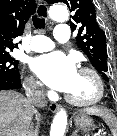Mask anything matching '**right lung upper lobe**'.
I'll use <instances>...</instances> for the list:
<instances>
[{
    "mask_svg": "<svg viewBox=\"0 0 117 136\" xmlns=\"http://www.w3.org/2000/svg\"><path fill=\"white\" fill-rule=\"evenodd\" d=\"M36 11L35 0H0V54H9L18 44L29 17Z\"/></svg>",
    "mask_w": 117,
    "mask_h": 136,
    "instance_id": "1",
    "label": "right lung upper lobe"
}]
</instances>
